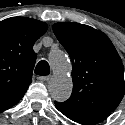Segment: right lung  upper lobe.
Returning a JSON list of instances; mask_svg holds the SVG:
<instances>
[{
	"instance_id": "right-lung-upper-lobe-1",
	"label": "right lung upper lobe",
	"mask_w": 125,
	"mask_h": 125,
	"mask_svg": "<svg viewBox=\"0 0 125 125\" xmlns=\"http://www.w3.org/2000/svg\"><path fill=\"white\" fill-rule=\"evenodd\" d=\"M47 29L46 23L28 17L0 22V111L18 103L31 84L37 56L33 44Z\"/></svg>"
}]
</instances>
